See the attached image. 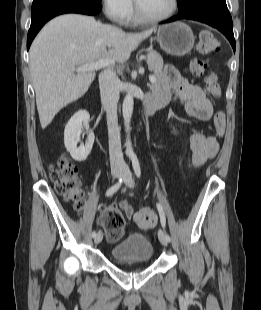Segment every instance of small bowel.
Segmentation results:
<instances>
[{"label": "small bowel", "mask_w": 261, "mask_h": 310, "mask_svg": "<svg viewBox=\"0 0 261 310\" xmlns=\"http://www.w3.org/2000/svg\"><path fill=\"white\" fill-rule=\"evenodd\" d=\"M171 94L181 101L190 116L198 120H208L211 117L212 104L202 87L184 79L174 67L167 65L161 71V78L153 85L152 95L168 101ZM190 146L196 166L213 158L219 149L215 137H206L198 131L192 134ZM119 209L128 219L133 218L134 210L127 200L119 203Z\"/></svg>", "instance_id": "obj_1"}]
</instances>
